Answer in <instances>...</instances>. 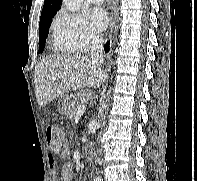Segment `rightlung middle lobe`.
<instances>
[{
	"instance_id": "obj_1",
	"label": "right lung middle lobe",
	"mask_w": 197,
	"mask_h": 181,
	"mask_svg": "<svg viewBox=\"0 0 197 181\" xmlns=\"http://www.w3.org/2000/svg\"><path fill=\"white\" fill-rule=\"evenodd\" d=\"M55 14H49L40 17L39 23V53H42L45 47V41L49 33V27L52 22V18Z\"/></svg>"
}]
</instances>
